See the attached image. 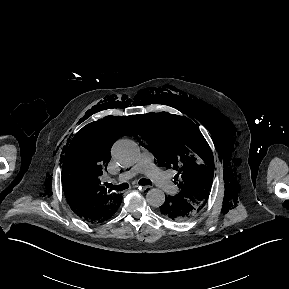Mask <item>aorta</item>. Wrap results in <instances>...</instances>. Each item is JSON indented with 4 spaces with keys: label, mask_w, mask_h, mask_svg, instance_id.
I'll return each instance as SVG.
<instances>
[{
    "label": "aorta",
    "mask_w": 289,
    "mask_h": 289,
    "mask_svg": "<svg viewBox=\"0 0 289 289\" xmlns=\"http://www.w3.org/2000/svg\"><path fill=\"white\" fill-rule=\"evenodd\" d=\"M138 145L128 139L118 140L112 147V157L122 166L135 163L139 157ZM147 203L152 207H160L165 202V194L161 189H150L146 194Z\"/></svg>",
    "instance_id": "1"
}]
</instances>
